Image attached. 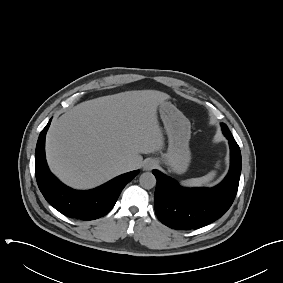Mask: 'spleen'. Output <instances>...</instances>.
<instances>
[{
	"instance_id": "1",
	"label": "spleen",
	"mask_w": 283,
	"mask_h": 283,
	"mask_svg": "<svg viewBox=\"0 0 283 283\" xmlns=\"http://www.w3.org/2000/svg\"><path fill=\"white\" fill-rule=\"evenodd\" d=\"M218 166V165H217ZM216 171H211L205 176L199 178H192L181 181V185L184 187L195 188L209 185V183L215 178Z\"/></svg>"
}]
</instances>
